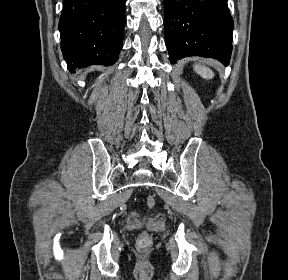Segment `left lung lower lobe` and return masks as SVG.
Listing matches in <instances>:
<instances>
[{
	"label": "left lung lower lobe",
	"mask_w": 288,
	"mask_h": 280,
	"mask_svg": "<svg viewBox=\"0 0 288 280\" xmlns=\"http://www.w3.org/2000/svg\"><path fill=\"white\" fill-rule=\"evenodd\" d=\"M164 11L171 62L202 56L229 63L233 19L227 0H164Z\"/></svg>",
	"instance_id": "0a47b994"
}]
</instances>
